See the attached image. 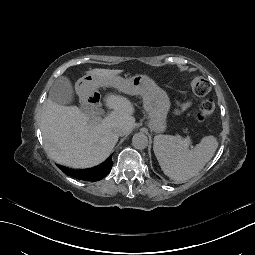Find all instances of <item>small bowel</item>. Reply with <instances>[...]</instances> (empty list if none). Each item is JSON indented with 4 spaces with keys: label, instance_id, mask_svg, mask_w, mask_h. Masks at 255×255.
<instances>
[{
    "label": "small bowel",
    "instance_id": "c3829d8e",
    "mask_svg": "<svg viewBox=\"0 0 255 255\" xmlns=\"http://www.w3.org/2000/svg\"><path fill=\"white\" fill-rule=\"evenodd\" d=\"M188 105H189V103H187L185 107H187Z\"/></svg>",
    "mask_w": 255,
    "mask_h": 255
}]
</instances>
